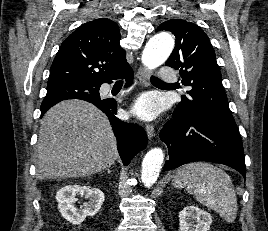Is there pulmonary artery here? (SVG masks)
I'll return each mask as SVG.
<instances>
[{
  "instance_id": "1",
  "label": "pulmonary artery",
  "mask_w": 268,
  "mask_h": 231,
  "mask_svg": "<svg viewBox=\"0 0 268 231\" xmlns=\"http://www.w3.org/2000/svg\"><path fill=\"white\" fill-rule=\"evenodd\" d=\"M160 77L168 82H174L177 79V74L173 71L170 66H163L161 68Z\"/></svg>"
}]
</instances>
